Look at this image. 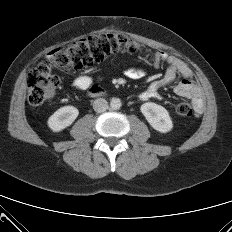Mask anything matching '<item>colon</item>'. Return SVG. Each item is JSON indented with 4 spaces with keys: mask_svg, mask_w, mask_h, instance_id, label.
Segmentation results:
<instances>
[{
    "mask_svg": "<svg viewBox=\"0 0 232 232\" xmlns=\"http://www.w3.org/2000/svg\"><path fill=\"white\" fill-rule=\"evenodd\" d=\"M139 48L136 41L124 34L107 33L86 37L56 49L29 72L26 79L29 103L38 107L55 94L60 86V79L51 73L53 69L78 71L104 61L111 54L134 53ZM176 113L184 117L190 116L192 108L189 103L181 102L176 106Z\"/></svg>",
    "mask_w": 232,
    "mask_h": 232,
    "instance_id": "obj_1",
    "label": "colon"
}]
</instances>
